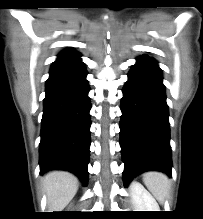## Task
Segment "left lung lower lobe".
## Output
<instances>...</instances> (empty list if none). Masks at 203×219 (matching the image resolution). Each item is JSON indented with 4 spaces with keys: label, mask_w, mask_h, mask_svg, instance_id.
<instances>
[{
    "label": "left lung lower lobe",
    "mask_w": 203,
    "mask_h": 219,
    "mask_svg": "<svg viewBox=\"0 0 203 219\" xmlns=\"http://www.w3.org/2000/svg\"><path fill=\"white\" fill-rule=\"evenodd\" d=\"M162 79L157 62L147 56L138 57L128 73L120 106L125 187L145 171L172 175L169 112Z\"/></svg>",
    "instance_id": "left-lung-lower-lobe-1"
}]
</instances>
